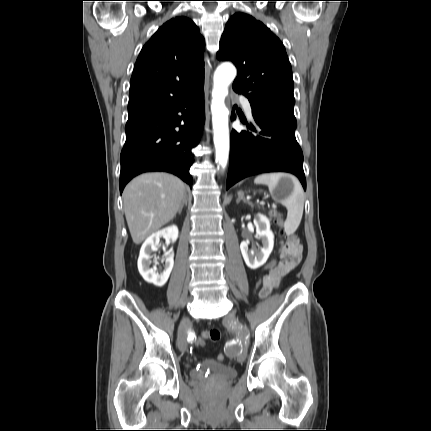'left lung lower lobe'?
I'll use <instances>...</instances> for the list:
<instances>
[{"label":"left lung lower lobe","instance_id":"1","mask_svg":"<svg viewBox=\"0 0 431 431\" xmlns=\"http://www.w3.org/2000/svg\"><path fill=\"white\" fill-rule=\"evenodd\" d=\"M252 115L254 124H247L250 131L231 132L227 189L250 175L283 171L296 175L305 190L303 153L295 138L296 120L253 108ZM231 119H236L233 112Z\"/></svg>","mask_w":431,"mask_h":431}]
</instances>
